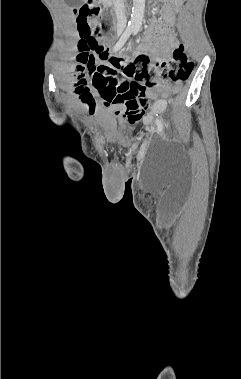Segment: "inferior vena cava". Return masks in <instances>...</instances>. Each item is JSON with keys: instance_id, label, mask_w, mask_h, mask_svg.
Returning <instances> with one entry per match:
<instances>
[{"instance_id": "obj_1", "label": "inferior vena cava", "mask_w": 241, "mask_h": 379, "mask_svg": "<svg viewBox=\"0 0 241 379\" xmlns=\"http://www.w3.org/2000/svg\"><path fill=\"white\" fill-rule=\"evenodd\" d=\"M114 9L117 17V34L120 35L126 27L124 0H114Z\"/></svg>"}]
</instances>
